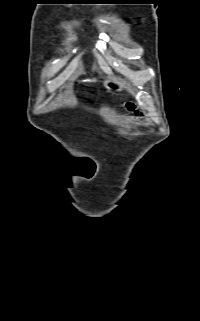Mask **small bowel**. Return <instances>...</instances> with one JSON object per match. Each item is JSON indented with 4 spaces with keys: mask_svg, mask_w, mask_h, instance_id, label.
I'll list each match as a JSON object with an SVG mask.
<instances>
[{
    "mask_svg": "<svg viewBox=\"0 0 200 321\" xmlns=\"http://www.w3.org/2000/svg\"><path fill=\"white\" fill-rule=\"evenodd\" d=\"M127 108H128V110L134 111V107L131 104H127Z\"/></svg>",
    "mask_w": 200,
    "mask_h": 321,
    "instance_id": "1",
    "label": "small bowel"
}]
</instances>
